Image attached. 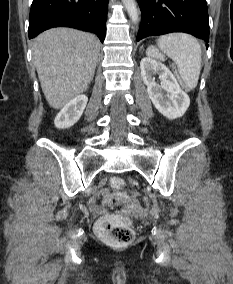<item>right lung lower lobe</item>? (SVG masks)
Here are the masks:
<instances>
[{
    "instance_id": "1",
    "label": "right lung lower lobe",
    "mask_w": 233,
    "mask_h": 284,
    "mask_svg": "<svg viewBox=\"0 0 233 284\" xmlns=\"http://www.w3.org/2000/svg\"><path fill=\"white\" fill-rule=\"evenodd\" d=\"M109 0H33L29 39L52 27H72L105 39Z\"/></svg>"
}]
</instances>
